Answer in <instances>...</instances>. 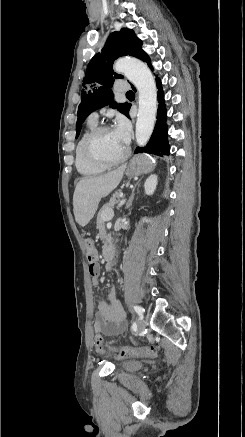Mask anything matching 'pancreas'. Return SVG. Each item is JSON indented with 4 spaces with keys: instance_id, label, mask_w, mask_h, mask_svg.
<instances>
[{
    "instance_id": "obj_1",
    "label": "pancreas",
    "mask_w": 245,
    "mask_h": 437,
    "mask_svg": "<svg viewBox=\"0 0 245 437\" xmlns=\"http://www.w3.org/2000/svg\"><path fill=\"white\" fill-rule=\"evenodd\" d=\"M121 191L115 192L112 197L110 198V201L105 204L101 210L98 213L97 216V229L99 230V236L103 243L106 245L107 241L109 240V235L107 234V231L105 230V221L106 217L109 214L113 213V208L115 204L119 203V198L121 196Z\"/></svg>"
}]
</instances>
